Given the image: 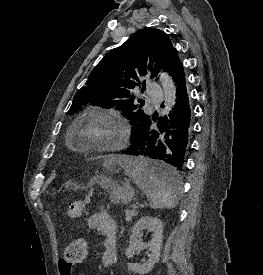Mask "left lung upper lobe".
I'll list each match as a JSON object with an SVG mask.
<instances>
[{"label": "left lung upper lobe", "mask_w": 263, "mask_h": 275, "mask_svg": "<svg viewBox=\"0 0 263 275\" xmlns=\"http://www.w3.org/2000/svg\"><path fill=\"white\" fill-rule=\"evenodd\" d=\"M175 53L165 32L153 28L138 30L97 64L86 85L76 92L67 114H75L89 103L104 108L116 106L131 120L132 137L150 116L140 109L142 105L136 104L129 89L139 86L135 80L139 82L140 76L154 77L161 68L166 71Z\"/></svg>", "instance_id": "5c2ea615"}]
</instances>
